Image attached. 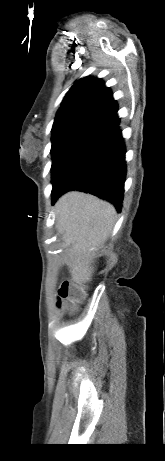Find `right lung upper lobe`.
<instances>
[{
  "label": "right lung upper lobe",
  "instance_id": "obj_1",
  "mask_svg": "<svg viewBox=\"0 0 165 461\" xmlns=\"http://www.w3.org/2000/svg\"><path fill=\"white\" fill-rule=\"evenodd\" d=\"M117 103L103 81L84 77L69 89L65 95L56 119L92 115L107 122L117 117Z\"/></svg>",
  "mask_w": 165,
  "mask_h": 461
}]
</instances>
